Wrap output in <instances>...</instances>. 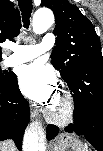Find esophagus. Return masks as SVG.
Masks as SVG:
<instances>
[{"label": "esophagus", "instance_id": "esophagus-1", "mask_svg": "<svg viewBox=\"0 0 103 151\" xmlns=\"http://www.w3.org/2000/svg\"><path fill=\"white\" fill-rule=\"evenodd\" d=\"M31 118L37 120V110L34 107H31Z\"/></svg>", "mask_w": 103, "mask_h": 151}]
</instances>
